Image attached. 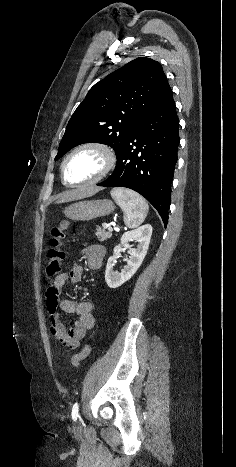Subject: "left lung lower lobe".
<instances>
[{"instance_id":"left-lung-lower-lobe-1","label":"left lung lower lobe","mask_w":236,"mask_h":467,"mask_svg":"<svg viewBox=\"0 0 236 467\" xmlns=\"http://www.w3.org/2000/svg\"><path fill=\"white\" fill-rule=\"evenodd\" d=\"M172 90L129 133L113 174L98 186L127 187L144 196L168 222L179 145Z\"/></svg>"}]
</instances>
